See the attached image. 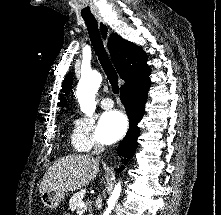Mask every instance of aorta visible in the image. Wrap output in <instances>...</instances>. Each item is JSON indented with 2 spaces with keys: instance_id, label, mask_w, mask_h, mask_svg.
Returning a JSON list of instances; mask_svg holds the SVG:
<instances>
[{
  "instance_id": "762f6f07",
  "label": "aorta",
  "mask_w": 221,
  "mask_h": 215,
  "mask_svg": "<svg viewBox=\"0 0 221 215\" xmlns=\"http://www.w3.org/2000/svg\"><path fill=\"white\" fill-rule=\"evenodd\" d=\"M101 82L102 76L98 72H91L90 74L82 75L77 85V99L80 104L81 111L87 116H92L95 111V97L101 85ZM120 193L121 184L118 183L107 201L108 206L104 211L103 215H109L111 213L114 206L116 205Z\"/></svg>"
}]
</instances>
